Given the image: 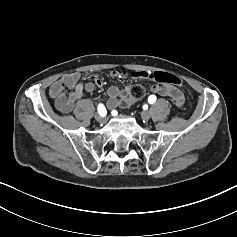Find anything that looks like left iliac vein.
<instances>
[{
	"mask_svg": "<svg viewBox=\"0 0 237 237\" xmlns=\"http://www.w3.org/2000/svg\"><path fill=\"white\" fill-rule=\"evenodd\" d=\"M141 117L144 121H148L150 119V113L148 111H143Z\"/></svg>",
	"mask_w": 237,
	"mask_h": 237,
	"instance_id": "4c4485c4",
	"label": "left iliac vein"
}]
</instances>
